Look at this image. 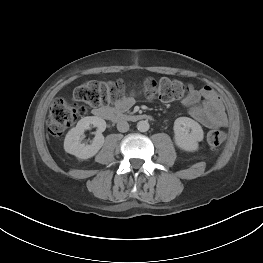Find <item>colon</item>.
Listing matches in <instances>:
<instances>
[{
	"instance_id": "1",
	"label": "colon",
	"mask_w": 263,
	"mask_h": 263,
	"mask_svg": "<svg viewBox=\"0 0 263 263\" xmlns=\"http://www.w3.org/2000/svg\"><path fill=\"white\" fill-rule=\"evenodd\" d=\"M127 86L122 80L88 81L74 91V98L90 106H102L119 102L124 98ZM142 90L148 98H159L164 102H172L186 98L191 94V85L172 78H147L142 83ZM85 108L71 104L62 98L52 102L48 117V131L53 137H60L71 127ZM226 139L224 131L215 129L207 134V143L211 148L220 147Z\"/></svg>"
}]
</instances>
